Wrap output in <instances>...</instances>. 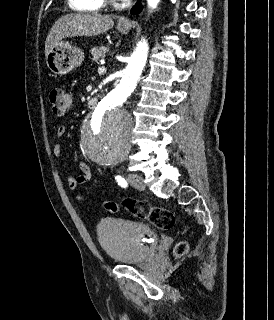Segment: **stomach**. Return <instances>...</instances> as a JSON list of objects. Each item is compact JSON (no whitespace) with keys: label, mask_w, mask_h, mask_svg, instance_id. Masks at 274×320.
Returning <instances> with one entry per match:
<instances>
[{"label":"stomach","mask_w":274,"mask_h":320,"mask_svg":"<svg viewBox=\"0 0 274 320\" xmlns=\"http://www.w3.org/2000/svg\"><path fill=\"white\" fill-rule=\"evenodd\" d=\"M134 26L135 24H132V26H117V28L121 34H128ZM83 60V52L79 48L71 46L69 42H60L58 46L51 48L46 56V64L55 76H66L71 70L81 66Z\"/></svg>","instance_id":"0dacf381"}]
</instances>
